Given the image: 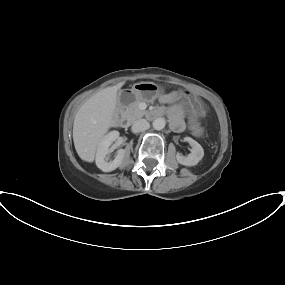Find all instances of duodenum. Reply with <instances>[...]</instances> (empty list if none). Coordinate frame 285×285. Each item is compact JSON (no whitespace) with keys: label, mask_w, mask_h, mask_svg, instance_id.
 <instances>
[{"label":"duodenum","mask_w":285,"mask_h":285,"mask_svg":"<svg viewBox=\"0 0 285 285\" xmlns=\"http://www.w3.org/2000/svg\"><path fill=\"white\" fill-rule=\"evenodd\" d=\"M159 114H160V111H159V110H152V111L146 112V113H145V116H146L147 118L152 119V118L158 117ZM121 123H122L124 126H127V125H128L127 121H125V120H121Z\"/></svg>","instance_id":"obj_1"}]
</instances>
